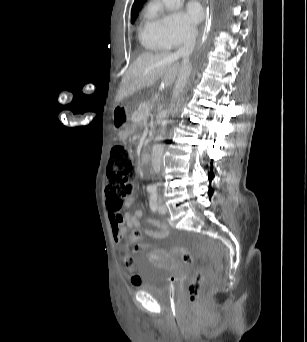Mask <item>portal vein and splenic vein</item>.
I'll list each match as a JSON object with an SVG mask.
<instances>
[{"mask_svg":"<svg viewBox=\"0 0 307 342\" xmlns=\"http://www.w3.org/2000/svg\"><path fill=\"white\" fill-rule=\"evenodd\" d=\"M145 114H146V116H148V114H149V110H146Z\"/></svg>","mask_w":307,"mask_h":342,"instance_id":"portal-vein-and-splenic-vein-1","label":"portal vein and splenic vein"}]
</instances>
